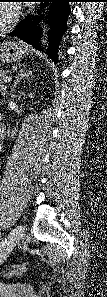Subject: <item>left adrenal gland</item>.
<instances>
[{
	"mask_svg": "<svg viewBox=\"0 0 107 297\" xmlns=\"http://www.w3.org/2000/svg\"><path fill=\"white\" fill-rule=\"evenodd\" d=\"M32 74L31 71L27 72L26 67L24 66L20 71L18 76L16 77V80L14 81V85L12 87V92L14 91L15 87L22 81L23 78L29 77V75Z\"/></svg>",
	"mask_w": 107,
	"mask_h": 297,
	"instance_id": "obj_1",
	"label": "left adrenal gland"
}]
</instances>
